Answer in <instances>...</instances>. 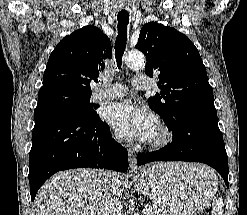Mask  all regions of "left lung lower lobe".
Masks as SVG:
<instances>
[{
    "label": "left lung lower lobe",
    "instance_id": "0a47b994",
    "mask_svg": "<svg viewBox=\"0 0 247 215\" xmlns=\"http://www.w3.org/2000/svg\"><path fill=\"white\" fill-rule=\"evenodd\" d=\"M172 142L151 153H140L137 164L153 161L201 162L216 169L228 183V157L218 120L196 119L172 130Z\"/></svg>",
    "mask_w": 247,
    "mask_h": 215
}]
</instances>
